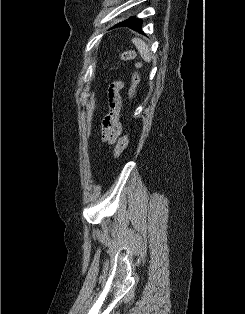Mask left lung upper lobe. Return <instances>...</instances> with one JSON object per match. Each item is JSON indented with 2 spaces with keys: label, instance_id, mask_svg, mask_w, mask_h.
<instances>
[{
  "label": "left lung upper lobe",
  "instance_id": "1",
  "mask_svg": "<svg viewBox=\"0 0 245 314\" xmlns=\"http://www.w3.org/2000/svg\"><path fill=\"white\" fill-rule=\"evenodd\" d=\"M133 18H135V17H130L129 19H127V20H125V21H123V22L118 23V24L115 25L114 27H117V26H126V25H128V23H129Z\"/></svg>",
  "mask_w": 245,
  "mask_h": 314
}]
</instances>
